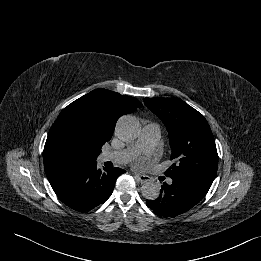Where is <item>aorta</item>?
Masks as SVG:
<instances>
[{"instance_id": "762f6f07", "label": "aorta", "mask_w": 261, "mask_h": 261, "mask_svg": "<svg viewBox=\"0 0 261 261\" xmlns=\"http://www.w3.org/2000/svg\"><path fill=\"white\" fill-rule=\"evenodd\" d=\"M141 131L140 122L134 116H123L119 119L116 127L118 137L123 141L135 140ZM141 192L144 198L154 200L159 196V186L152 182H146L141 187Z\"/></svg>"}]
</instances>
